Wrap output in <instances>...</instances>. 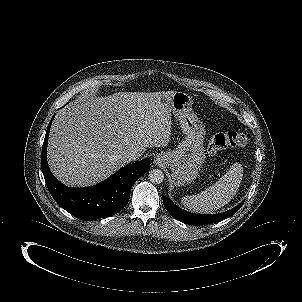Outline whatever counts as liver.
I'll list each match as a JSON object with an SVG mask.
<instances>
[{
  "mask_svg": "<svg viewBox=\"0 0 302 302\" xmlns=\"http://www.w3.org/2000/svg\"><path fill=\"white\" fill-rule=\"evenodd\" d=\"M175 91L118 92L87 97L60 110L52 123L47 159L68 186H90L128 164L124 155L165 147L171 140Z\"/></svg>",
  "mask_w": 302,
  "mask_h": 302,
  "instance_id": "liver-1",
  "label": "liver"
}]
</instances>
